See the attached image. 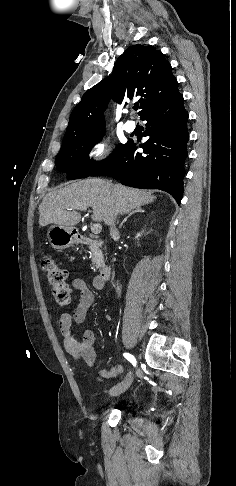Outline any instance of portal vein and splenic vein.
<instances>
[{
	"instance_id": "1",
	"label": "portal vein and splenic vein",
	"mask_w": 236,
	"mask_h": 486,
	"mask_svg": "<svg viewBox=\"0 0 236 486\" xmlns=\"http://www.w3.org/2000/svg\"><path fill=\"white\" fill-rule=\"evenodd\" d=\"M86 209H87V208H83V209H80V210H86ZM101 230H102V225H101V224H99V223L93 224V225L91 226V231H92V233H94V234H99V233L101 232Z\"/></svg>"
}]
</instances>
